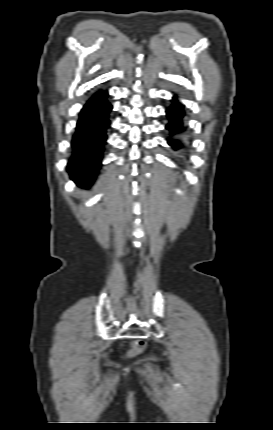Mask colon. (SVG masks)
<instances>
[{"instance_id":"5ec220e1","label":"colon","mask_w":273,"mask_h":430,"mask_svg":"<svg viewBox=\"0 0 273 430\" xmlns=\"http://www.w3.org/2000/svg\"><path fill=\"white\" fill-rule=\"evenodd\" d=\"M143 349H144V342L137 340L132 343V347L129 353L131 356H134L136 354H139Z\"/></svg>"}]
</instances>
